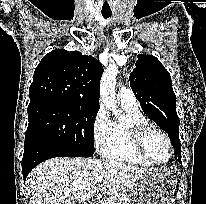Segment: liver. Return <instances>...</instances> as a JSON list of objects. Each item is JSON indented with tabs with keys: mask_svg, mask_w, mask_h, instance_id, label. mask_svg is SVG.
Listing matches in <instances>:
<instances>
[{
	"mask_svg": "<svg viewBox=\"0 0 206 204\" xmlns=\"http://www.w3.org/2000/svg\"><path fill=\"white\" fill-rule=\"evenodd\" d=\"M148 169L95 158H54L34 168L27 184L30 204H69L85 202L97 190L96 178L103 176L99 190L117 194L134 184Z\"/></svg>",
	"mask_w": 206,
	"mask_h": 204,
	"instance_id": "1",
	"label": "liver"
}]
</instances>
